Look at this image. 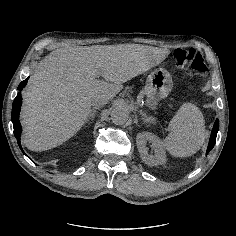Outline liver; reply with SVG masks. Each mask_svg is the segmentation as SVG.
<instances>
[{"instance_id": "1", "label": "liver", "mask_w": 236, "mask_h": 236, "mask_svg": "<svg viewBox=\"0 0 236 236\" xmlns=\"http://www.w3.org/2000/svg\"><path fill=\"white\" fill-rule=\"evenodd\" d=\"M169 53L142 44L67 46L51 52L36 65L23 94L24 144L32 151L62 145L87 122L92 106L107 104L122 91V83L147 70L143 64L149 55Z\"/></svg>"}]
</instances>
